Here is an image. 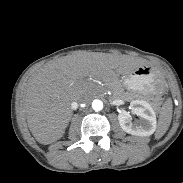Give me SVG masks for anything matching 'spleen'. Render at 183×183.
<instances>
[{
    "mask_svg": "<svg viewBox=\"0 0 183 183\" xmlns=\"http://www.w3.org/2000/svg\"><path fill=\"white\" fill-rule=\"evenodd\" d=\"M172 119V101L168 99L162 106L159 113L158 127L155 134L156 139H160L168 130Z\"/></svg>",
    "mask_w": 183,
    "mask_h": 183,
    "instance_id": "3e777b00",
    "label": "spleen"
}]
</instances>
